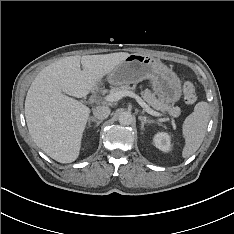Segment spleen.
<instances>
[{"mask_svg":"<svg viewBox=\"0 0 234 234\" xmlns=\"http://www.w3.org/2000/svg\"><path fill=\"white\" fill-rule=\"evenodd\" d=\"M210 120V106L207 102H199L194 112L189 115L182 125V135L185 146L182 151L183 158H189L199 149L206 134Z\"/></svg>","mask_w":234,"mask_h":234,"instance_id":"3e777b00","label":"spleen"}]
</instances>
